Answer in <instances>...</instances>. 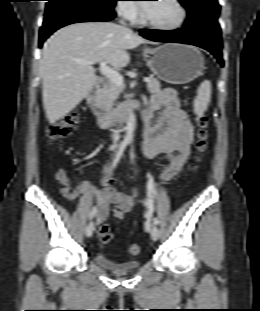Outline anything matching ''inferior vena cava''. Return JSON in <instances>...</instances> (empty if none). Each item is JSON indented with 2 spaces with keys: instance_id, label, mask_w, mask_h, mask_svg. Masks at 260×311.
Masks as SVG:
<instances>
[{
  "instance_id": "1",
  "label": "inferior vena cava",
  "mask_w": 260,
  "mask_h": 311,
  "mask_svg": "<svg viewBox=\"0 0 260 311\" xmlns=\"http://www.w3.org/2000/svg\"><path fill=\"white\" fill-rule=\"evenodd\" d=\"M121 23L124 24L123 21H121ZM112 139H113V142H114L115 144H117V142H118L119 139H120V134H119V130H118V129H114V130H113Z\"/></svg>"
}]
</instances>
